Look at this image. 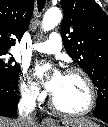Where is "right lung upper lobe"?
<instances>
[{
	"label": "right lung upper lobe",
	"mask_w": 108,
	"mask_h": 127,
	"mask_svg": "<svg viewBox=\"0 0 108 127\" xmlns=\"http://www.w3.org/2000/svg\"><path fill=\"white\" fill-rule=\"evenodd\" d=\"M33 0H0V51H8L26 31L33 12Z\"/></svg>",
	"instance_id": "right-lung-upper-lobe-1"
}]
</instances>
